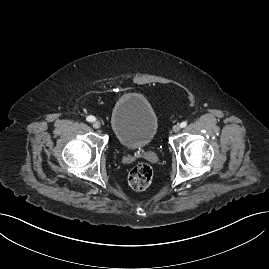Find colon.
I'll list each match as a JSON object with an SVG mask.
<instances>
[{"label":"colon","mask_w":269,"mask_h":269,"mask_svg":"<svg viewBox=\"0 0 269 269\" xmlns=\"http://www.w3.org/2000/svg\"><path fill=\"white\" fill-rule=\"evenodd\" d=\"M153 179V170L147 164H138L131 169L128 175V182L135 190H145Z\"/></svg>","instance_id":"5ec220e1"}]
</instances>
